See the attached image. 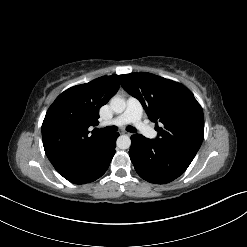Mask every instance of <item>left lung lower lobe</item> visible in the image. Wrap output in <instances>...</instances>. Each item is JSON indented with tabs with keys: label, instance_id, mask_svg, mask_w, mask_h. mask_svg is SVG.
<instances>
[{
	"label": "left lung lower lobe",
	"instance_id": "left-lung-lower-lobe-1",
	"mask_svg": "<svg viewBox=\"0 0 247 247\" xmlns=\"http://www.w3.org/2000/svg\"><path fill=\"white\" fill-rule=\"evenodd\" d=\"M130 159L144 180L164 184L185 172L193 159L171 152L140 134L131 136Z\"/></svg>",
	"mask_w": 247,
	"mask_h": 247
}]
</instances>
